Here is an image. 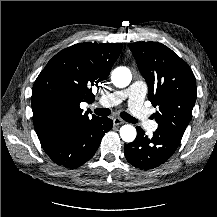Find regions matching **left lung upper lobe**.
I'll return each instance as SVG.
<instances>
[{
  "label": "left lung upper lobe",
  "instance_id": "1",
  "mask_svg": "<svg viewBox=\"0 0 217 217\" xmlns=\"http://www.w3.org/2000/svg\"><path fill=\"white\" fill-rule=\"evenodd\" d=\"M129 48L148 85V99L158 111V128L182 137L196 101V80L188 64L158 42L130 43Z\"/></svg>",
  "mask_w": 217,
  "mask_h": 217
}]
</instances>
